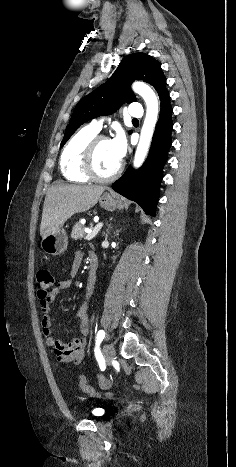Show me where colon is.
Listing matches in <instances>:
<instances>
[{"label": "colon", "instance_id": "colon-1", "mask_svg": "<svg viewBox=\"0 0 236 467\" xmlns=\"http://www.w3.org/2000/svg\"><path fill=\"white\" fill-rule=\"evenodd\" d=\"M37 282H38V298L40 300H44L48 298L53 291L54 285V276L53 274L47 269H41L37 273ZM79 385L82 391L90 395H96L95 389L90 386L84 376L79 377ZM100 385L102 387H108L109 382L105 379L100 381ZM111 397V394H108Z\"/></svg>", "mask_w": 236, "mask_h": 467}]
</instances>
